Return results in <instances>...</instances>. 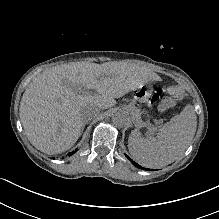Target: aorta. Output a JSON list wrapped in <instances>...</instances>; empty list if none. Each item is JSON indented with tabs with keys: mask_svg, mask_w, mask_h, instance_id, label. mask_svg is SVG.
Listing matches in <instances>:
<instances>
[{
	"mask_svg": "<svg viewBox=\"0 0 219 219\" xmlns=\"http://www.w3.org/2000/svg\"><path fill=\"white\" fill-rule=\"evenodd\" d=\"M111 118L113 123L120 128L128 127L130 122L127 113L121 109H114Z\"/></svg>",
	"mask_w": 219,
	"mask_h": 219,
	"instance_id": "aorta-1",
	"label": "aorta"
}]
</instances>
